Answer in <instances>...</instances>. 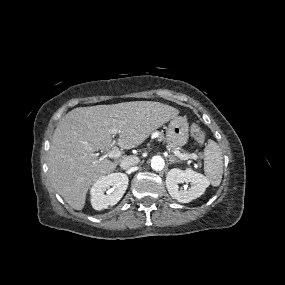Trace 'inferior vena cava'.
Listing matches in <instances>:
<instances>
[{"label": "inferior vena cava", "instance_id": "obj_1", "mask_svg": "<svg viewBox=\"0 0 285 285\" xmlns=\"http://www.w3.org/2000/svg\"><path fill=\"white\" fill-rule=\"evenodd\" d=\"M139 163V158L135 157V156H128L126 158H124L123 160H121L120 162V167L122 169H128L132 166H135Z\"/></svg>", "mask_w": 285, "mask_h": 285}]
</instances>
